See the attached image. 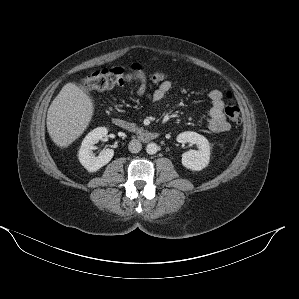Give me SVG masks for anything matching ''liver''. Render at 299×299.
Masks as SVG:
<instances>
[{"label": "liver", "instance_id": "6515ba94", "mask_svg": "<svg viewBox=\"0 0 299 299\" xmlns=\"http://www.w3.org/2000/svg\"><path fill=\"white\" fill-rule=\"evenodd\" d=\"M94 112L90 96L75 83H67L52 101L47 113V130L60 148L72 144L88 127Z\"/></svg>", "mask_w": 299, "mask_h": 299}]
</instances>
